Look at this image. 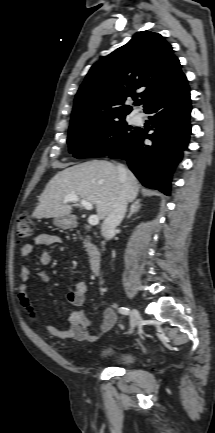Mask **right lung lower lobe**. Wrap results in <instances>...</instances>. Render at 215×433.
<instances>
[{"label": "right lung lower lobe", "instance_id": "obj_1", "mask_svg": "<svg viewBox=\"0 0 215 433\" xmlns=\"http://www.w3.org/2000/svg\"><path fill=\"white\" fill-rule=\"evenodd\" d=\"M145 113L152 114L151 130L147 135L137 130L134 136L110 158L127 160L130 170L147 188L170 194V178L183 150L187 147L190 133V89L187 81L174 91L151 103ZM152 141L151 145L144 140Z\"/></svg>", "mask_w": 215, "mask_h": 433}]
</instances>
